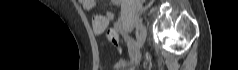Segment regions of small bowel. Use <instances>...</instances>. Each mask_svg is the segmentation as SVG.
<instances>
[{"mask_svg":"<svg viewBox=\"0 0 238 70\" xmlns=\"http://www.w3.org/2000/svg\"><path fill=\"white\" fill-rule=\"evenodd\" d=\"M115 4H118V0H113ZM80 3L85 11L92 13V26L96 34L103 33L111 20H113L114 15L110 11L104 13L96 12V1L95 0H80ZM118 27V26H117Z\"/></svg>","mask_w":238,"mask_h":70,"instance_id":"c3829d8e","label":"small bowel"}]
</instances>
